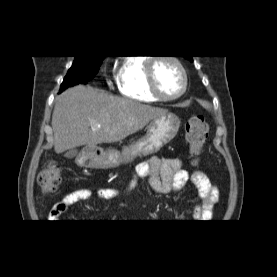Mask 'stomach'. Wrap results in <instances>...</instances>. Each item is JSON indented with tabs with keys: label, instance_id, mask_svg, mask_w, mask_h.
Wrapping results in <instances>:
<instances>
[{
	"label": "stomach",
	"instance_id": "obj_1",
	"mask_svg": "<svg viewBox=\"0 0 277 277\" xmlns=\"http://www.w3.org/2000/svg\"><path fill=\"white\" fill-rule=\"evenodd\" d=\"M180 123L178 116L166 113L151 120L147 126L145 137L125 148L121 154L115 151L101 150V154L97 155L94 149H88L83 152L78 161L81 165L88 167L114 168L131 161L137 155L155 153L176 136Z\"/></svg>",
	"mask_w": 277,
	"mask_h": 277
}]
</instances>
